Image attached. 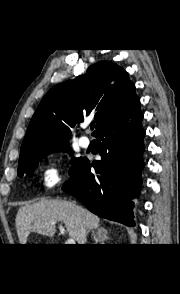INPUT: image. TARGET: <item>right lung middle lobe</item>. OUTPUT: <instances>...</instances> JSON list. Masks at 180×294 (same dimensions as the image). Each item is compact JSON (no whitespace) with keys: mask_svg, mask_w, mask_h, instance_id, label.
<instances>
[{"mask_svg":"<svg viewBox=\"0 0 180 294\" xmlns=\"http://www.w3.org/2000/svg\"><path fill=\"white\" fill-rule=\"evenodd\" d=\"M65 150H69L68 144L55 146V147H51V148L42 149V150L37 151L30 158H28L22 162H19L18 175L20 177H22L24 173L30 175L36 169L40 159H42L43 157L47 156L50 153H53L56 151H65ZM84 160H85V158H73L72 159V161H71L72 166H71L70 172H69L71 177H73L76 174V172L79 170V168L81 167V164L84 162Z\"/></svg>","mask_w":180,"mask_h":294,"instance_id":"right-lung-middle-lobe-1","label":"right lung middle lobe"}]
</instances>
